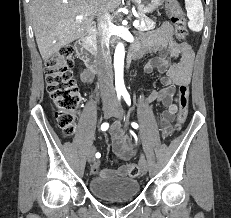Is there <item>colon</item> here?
<instances>
[{"label": "colon", "instance_id": "5ec220e1", "mask_svg": "<svg viewBox=\"0 0 231 218\" xmlns=\"http://www.w3.org/2000/svg\"><path fill=\"white\" fill-rule=\"evenodd\" d=\"M167 8L175 27V35L180 40L187 37L186 18L176 0H167ZM75 52L71 46L62 47L45 63L47 91L55 105V117L59 128L67 135L75 130L76 113L82 97L73 78ZM189 86H182L178 98L176 129L180 130L187 119L189 111ZM127 174L138 176L140 169L135 163L126 165Z\"/></svg>", "mask_w": 231, "mask_h": 218}]
</instances>
